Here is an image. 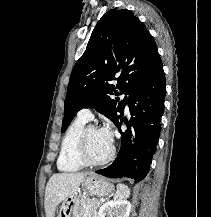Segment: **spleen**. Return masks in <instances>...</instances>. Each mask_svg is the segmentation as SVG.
<instances>
[{"mask_svg": "<svg viewBox=\"0 0 211 217\" xmlns=\"http://www.w3.org/2000/svg\"><path fill=\"white\" fill-rule=\"evenodd\" d=\"M130 195V189L124 184H117V191L115 198L117 199H126Z\"/></svg>", "mask_w": 211, "mask_h": 217, "instance_id": "spleen-1", "label": "spleen"}]
</instances>
